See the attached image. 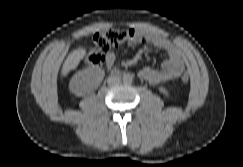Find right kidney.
<instances>
[{
	"label": "right kidney",
	"instance_id": "1",
	"mask_svg": "<svg viewBox=\"0 0 243 167\" xmlns=\"http://www.w3.org/2000/svg\"><path fill=\"white\" fill-rule=\"evenodd\" d=\"M105 73L100 68H87L78 71L71 79L69 89L76 96H83L98 88Z\"/></svg>",
	"mask_w": 243,
	"mask_h": 167
}]
</instances>
